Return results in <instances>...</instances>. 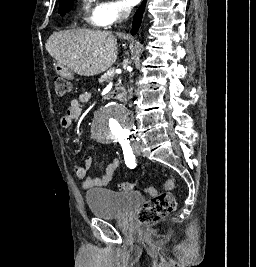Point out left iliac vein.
<instances>
[{
    "instance_id": "4c4485c4",
    "label": "left iliac vein",
    "mask_w": 256,
    "mask_h": 267,
    "mask_svg": "<svg viewBox=\"0 0 256 267\" xmlns=\"http://www.w3.org/2000/svg\"><path fill=\"white\" fill-rule=\"evenodd\" d=\"M132 148L136 155H139L141 153L140 145L137 142L133 143Z\"/></svg>"
}]
</instances>
